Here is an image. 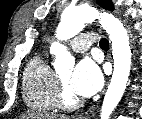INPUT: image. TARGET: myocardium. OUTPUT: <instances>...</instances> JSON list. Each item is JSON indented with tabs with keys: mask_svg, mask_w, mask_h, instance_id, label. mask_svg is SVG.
I'll use <instances>...</instances> for the list:
<instances>
[{
	"mask_svg": "<svg viewBox=\"0 0 142 119\" xmlns=\"http://www.w3.org/2000/svg\"><path fill=\"white\" fill-rule=\"evenodd\" d=\"M82 101L72 95L61 78H57V106L63 109H75L81 105Z\"/></svg>",
	"mask_w": 142,
	"mask_h": 119,
	"instance_id": "1",
	"label": "myocardium"
}]
</instances>
